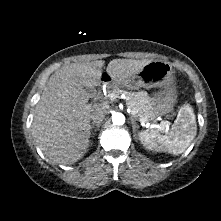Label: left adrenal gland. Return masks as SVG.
I'll return each instance as SVG.
<instances>
[{"label": "left adrenal gland", "mask_w": 221, "mask_h": 221, "mask_svg": "<svg viewBox=\"0 0 221 221\" xmlns=\"http://www.w3.org/2000/svg\"><path fill=\"white\" fill-rule=\"evenodd\" d=\"M131 119V123H132V128H133V132L135 133L136 132V129L139 128L138 124L136 123V120L133 116L130 117Z\"/></svg>", "instance_id": "left-adrenal-gland-1"}]
</instances>
